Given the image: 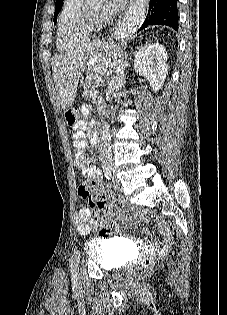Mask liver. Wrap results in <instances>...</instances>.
I'll return each instance as SVG.
<instances>
[{
  "mask_svg": "<svg viewBox=\"0 0 227 315\" xmlns=\"http://www.w3.org/2000/svg\"><path fill=\"white\" fill-rule=\"evenodd\" d=\"M122 50L115 43L94 41L56 55L52 59L53 79L62 109L69 108L77 95L79 78L91 67L94 73H105L115 68Z\"/></svg>",
  "mask_w": 227,
  "mask_h": 315,
  "instance_id": "6515ba94",
  "label": "liver"
}]
</instances>
